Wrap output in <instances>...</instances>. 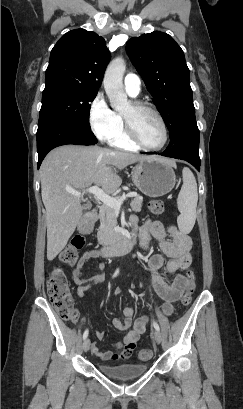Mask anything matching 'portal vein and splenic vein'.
I'll list each match as a JSON object with an SVG mask.
<instances>
[{
    "instance_id": "obj_1",
    "label": "portal vein and splenic vein",
    "mask_w": 243,
    "mask_h": 409,
    "mask_svg": "<svg viewBox=\"0 0 243 409\" xmlns=\"http://www.w3.org/2000/svg\"><path fill=\"white\" fill-rule=\"evenodd\" d=\"M68 192L74 196H83L86 193L93 194L98 200H100L103 204L114 208L115 210L119 211L121 205L123 204L124 200L128 197L136 196V193L130 192L128 194L122 195L120 198H114L106 194L102 189H100L97 185L91 186L90 188L84 190L83 192H78L75 190H68Z\"/></svg>"
}]
</instances>
